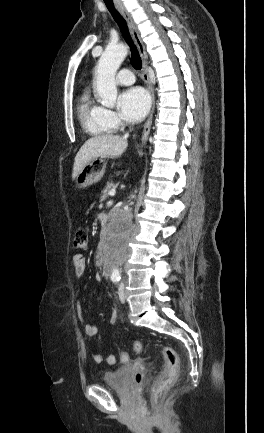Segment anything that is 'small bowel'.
Here are the masks:
<instances>
[{
  "mask_svg": "<svg viewBox=\"0 0 264 433\" xmlns=\"http://www.w3.org/2000/svg\"><path fill=\"white\" fill-rule=\"evenodd\" d=\"M73 264H74V270H75L76 277H81L83 275V273L85 272V269H86L85 257L82 254L74 255ZM95 279L97 282L102 281V277L99 274H97L95 276ZM77 314H78L79 319L82 321L83 320V314H82V309H81L80 305H78V307H77ZM116 320H117L116 315L113 314L110 318V323L113 324L116 322ZM84 332L88 337H94L98 333V327L94 324L86 323V324H84ZM91 359L97 364H100L104 361L103 355L98 353V352H92L91 353ZM105 360L110 365L114 364L116 362V358L114 355H109Z\"/></svg>",
  "mask_w": 264,
  "mask_h": 433,
  "instance_id": "small-bowel-1",
  "label": "small bowel"
}]
</instances>
